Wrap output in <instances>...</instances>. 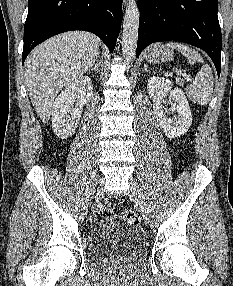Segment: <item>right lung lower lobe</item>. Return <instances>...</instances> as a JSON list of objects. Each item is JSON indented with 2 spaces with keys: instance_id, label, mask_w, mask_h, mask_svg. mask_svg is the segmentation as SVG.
Wrapping results in <instances>:
<instances>
[{
  "instance_id": "right-lung-lower-lobe-1",
  "label": "right lung lower lobe",
  "mask_w": 233,
  "mask_h": 286,
  "mask_svg": "<svg viewBox=\"0 0 233 286\" xmlns=\"http://www.w3.org/2000/svg\"><path fill=\"white\" fill-rule=\"evenodd\" d=\"M123 0H28L22 64L46 39L71 30L97 35L112 51L121 28Z\"/></svg>"
}]
</instances>
